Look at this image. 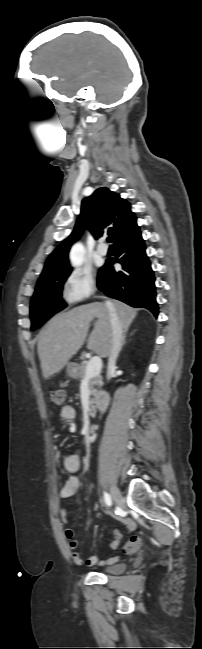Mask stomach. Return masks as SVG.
<instances>
[{"label":"stomach","mask_w":202,"mask_h":649,"mask_svg":"<svg viewBox=\"0 0 202 649\" xmlns=\"http://www.w3.org/2000/svg\"><path fill=\"white\" fill-rule=\"evenodd\" d=\"M67 373L69 374L70 377L76 378L77 377V366L74 363H69L67 365Z\"/></svg>","instance_id":"obj_1"}]
</instances>
